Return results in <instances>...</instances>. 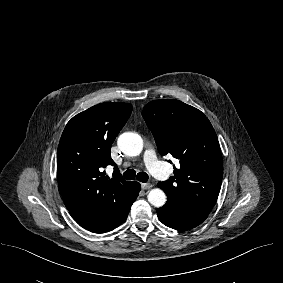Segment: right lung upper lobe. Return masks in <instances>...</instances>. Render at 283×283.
I'll use <instances>...</instances> for the list:
<instances>
[{
  "mask_svg": "<svg viewBox=\"0 0 283 283\" xmlns=\"http://www.w3.org/2000/svg\"><path fill=\"white\" fill-rule=\"evenodd\" d=\"M132 112L129 103H102L74 116L58 147V179L71 216L92 232L112 223L130 203L137 182L125 181L112 160L113 141ZM114 166L113 178L105 176Z\"/></svg>",
  "mask_w": 283,
  "mask_h": 283,
  "instance_id": "right-lung-upper-lobe-1",
  "label": "right lung upper lobe"
}]
</instances>
